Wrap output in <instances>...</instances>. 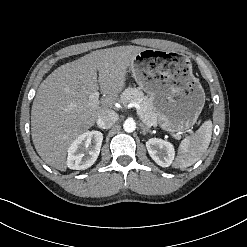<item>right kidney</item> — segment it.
<instances>
[{"label":"right kidney","instance_id":"right-kidney-1","mask_svg":"<svg viewBox=\"0 0 247 247\" xmlns=\"http://www.w3.org/2000/svg\"><path fill=\"white\" fill-rule=\"evenodd\" d=\"M102 140L103 134L99 131L79 135L68 148L67 166L75 170L91 167L99 156Z\"/></svg>","mask_w":247,"mask_h":247}]
</instances>
